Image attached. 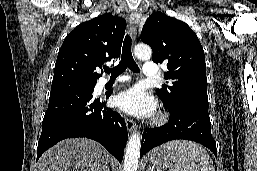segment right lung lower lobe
<instances>
[{
  "mask_svg": "<svg viewBox=\"0 0 257 171\" xmlns=\"http://www.w3.org/2000/svg\"><path fill=\"white\" fill-rule=\"evenodd\" d=\"M93 91L75 88L50 93L37 159L63 139L86 137L99 142L122 161L128 139L125 122L118 112L106 107L105 100L93 98Z\"/></svg>",
  "mask_w": 257,
  "mask_h": 171,
  "instance_id": "right-lung-lower-lobe-1",
  "label": "right lung lower lobe"
}]
</instances>
